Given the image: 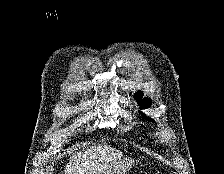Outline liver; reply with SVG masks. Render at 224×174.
Returning a JSON list of instances; mask_svg holds the SVG:
<instances>
[{
	"label": "liver",
	"mask_w": 224,
	"mask_h": 174,
	"mask_svg": "<svg viewBox=\"0 0 224 174\" xmlns=\"http://www.w3.org/2000/svg\"><path fill=\"white\" fill-rule=\"evenodd\" d=\"M123 153L107 145L93 146L75 153L66 165L65 174H98L119 162Z\"/></svg>",
	"instance_id": "6515ba94"
}]
</instances>
